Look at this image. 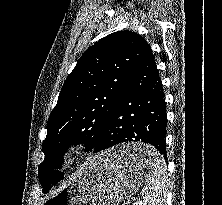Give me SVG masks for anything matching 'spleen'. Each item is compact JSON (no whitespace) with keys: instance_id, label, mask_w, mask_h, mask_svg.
Listing matches in <instances>:
<instances>
[{"instance_id":"3e777b00","label":"spleen","mask_w":222,"mask_h":205,"mask_svg":"<svg viewBox=\"0 0 222 205\" xmlns=\"http://www.w3.org/2000/svg\"><path fill=\"white\" fill-rule=\"evenodd\" d=\"M167 167L164 158L159 154L153 156L150 163L145 186L142 188V201L140 205H166Z\"/></svg>"}]
</instances>
